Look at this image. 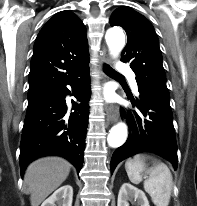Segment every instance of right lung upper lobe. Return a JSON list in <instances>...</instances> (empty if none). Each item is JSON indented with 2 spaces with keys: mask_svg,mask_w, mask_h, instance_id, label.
Wrapping results in <instances>:
<instances>
[{
  "mask_svg": "<svg viewBox=\"0 0 197 206\" xmlns=\"http://www.w3.org/2000/svg\"><path fill=\"white\" fill-rule=\"evenodd\" d=\"M89 63L86 29L71 11L55 14L39 32L31 59L29 91L56 90Z\"/></svg>",
  "mask_w": 197,
  "mask_h": 206,
  "instance_id": "1",
  "label": "right lung upper lobe"
}]
</instances>
